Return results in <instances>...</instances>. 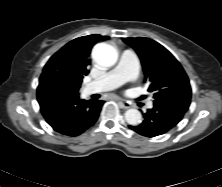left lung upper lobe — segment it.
<instances>
[{
  "label": "left lung upper lobe",
  "instance_id": "obj_1",
  "mask_svg": "<svg viewBox=\"0 0 222 187\" xmlns=\"http://www.w3.org/2000/svg\"><path fill=\"white\" fill-rule=\"evenodd\" d=\"M140 57L148 91L156 99L177 92L191 93L189 79L176 58L162 45L149 38H123Z\"/></svg>",
  "mask_w": 222,
  "mask_h": 187
}]
</instances>
